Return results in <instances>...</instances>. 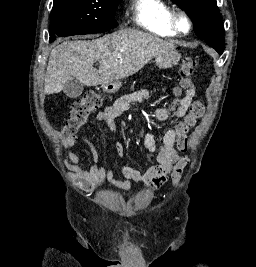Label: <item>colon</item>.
Segmentation results:
<instances>
[{
  "label": "colon",
  "mask_w": 256,
  "mask_h": 267,
  "mask_svg": "<svg viewBox=\"0 0 256 267\" xmlns=\"http://www.w3.org/2000/svg\"><path fill=\"white\" fill-rule=\"evenodd\" d=\"M197 64L193 58H184L181 62V87L184 90H192L195 85L192 81L196 73ZM105 102V96L97 91H90L83 99L76 102L70 110L69 117L62 125V134L65 137H72L85 125L92 113L97 111ZM206 109V103L202 98L195 99L189 108L185 117L176 123V132L178 135V148L183 153L173 169L174 182L180 179L186 166L188 158V133L201 120Z\"/></svg>",
  "instance_id": "obj_1"
}]
</instances>
